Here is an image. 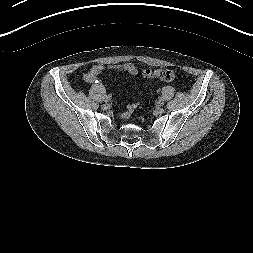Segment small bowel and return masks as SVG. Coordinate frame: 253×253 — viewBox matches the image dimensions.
<instances>
[{"instance_id": "small-bowel-1", "label": "small bowel", "mask_w": 253, "mask_h": 253, "mask_svg": "<svg viewBox=\"0 0 253 253\" xmlns=\"http://www.w3.org/2000/svg\"><path fill=\"white\" fill-rule=\"evenodd\" d=\"M102 66H94L86 75L85 81L86 82H94L96 80V76L100 73ZM126 69L133 75L137 74V68L129 64L126 66Z\"/></svg>"}]
</instances>
